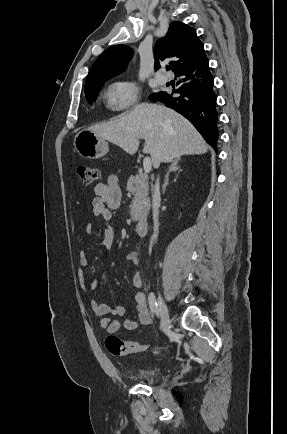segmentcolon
Returning <instances> with one entry per match:
<instances>
[{"mask_svg":"<svg viewBox=\"0 0 287 434\" xmlns=\"http://www.w3.org/2000/svg\"><path fill=\"white\" fill-rule=\"evenodd\" d=\"M77 174L84 185L96 183L100 177V171L95 167L78 166ZM105 346L113 356L117 357L125 356L133 352L143 351L147 348L145 344L124 341L115 335L106 337Z\"/></svg>","mask_w":287,"mask_h":434,"instance_id":"5ec220e1","label":"colon"}]
</instances>
